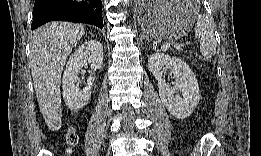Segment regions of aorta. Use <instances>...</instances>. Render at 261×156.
Listing matches in <instances>:
<instances>
[{
  "label": "aorta",
  "instance_id": "762f6f07",
  "mask_svg": "<svg viewBox=\"0 0 261 156\" xmlns=\"http://www.w3.org/2000/svg\"><path fill=\"white\" fill-rule=\"evenodd\" d=\"M123 2H124V3H123L124 6H127V5H129V2H130V1H129V0H124Z\"/></svg>",
  "mask_w": 261,
  "mask_h": 156
}]
</instances>
